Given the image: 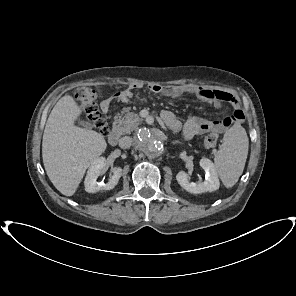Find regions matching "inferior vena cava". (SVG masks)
Returning <instances> with one entry per match:
<instances>
[{"label": "inferior vena cava", "instance_id": "inferior-vena-cava-1", "mask_svg": "<svg viewBox=\"0 0 296 296\" xmlns=\"http://www.w3.org/2000/svg\"><path fill=\"white\" fill-rule=\"evenodd\" d=\"M133 143V139L129 136H124L119 141V146L121 148H130Z\"/></svg>", "mask_w": 296, "mask_h": 296}]
</instances>
